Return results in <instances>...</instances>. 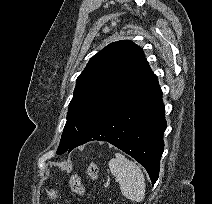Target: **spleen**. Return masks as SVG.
<instances>
[{
    "instance_id": "spleen-1",
    "label": "spleen",
    "mask_w": 212,
    "mask_h": 204,
    "mask_svg": "<svg viewBox=\"0 0 212 204\" xmlns=\"http://www.w3.org/2000/svg\"><path fill=\"white\" fill-rule=\"evenodd\" d=\"M109 171L120 184L122 194L131 201L140 202L145 196V179L141 169L120 153H115Z\"/></svg>"
}]
</instances>
